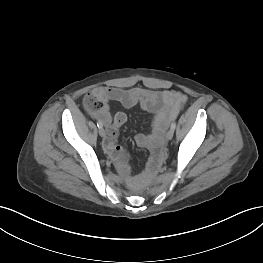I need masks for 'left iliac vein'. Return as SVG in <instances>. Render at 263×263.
<instances>
[{
  "label": "left iliac vein",
  "instance_id": "obj_1",
  "mask_svg": "<svg viewBox=\"0 0 263 263\" xmlns=\"http://www.w3.org/2000/svg\"><path fill=\"white\" fill-rule=\"evenodd\" d=\"M173 135H174V130L170 129L167 134H166V138L168 140H171L173 138Z\"/></svg>",
  "mask_w": 263,
  "mask_h": 263
}]
</instances>
